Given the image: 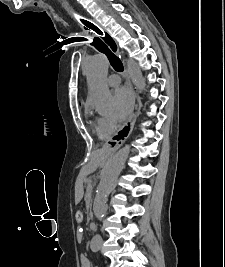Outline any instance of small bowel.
Segmentation results:
<instances>
[{
	"instance_id": "1",
	"label": "small bowel",
	"mask_w": 225,
	"mask_h": 267,
	"mask_svg": "<svg viewBox=\"0 0 225 267\" xmlns=\"http://www.w3.org/2000/svg\"><path fill=\"white\" fill-rule=\"evenodd\" d=\"M80 265L81 267H90V262L85 255L80 256Z\"/></svg>"
}]
</instances>
